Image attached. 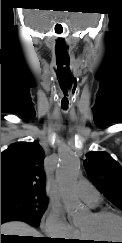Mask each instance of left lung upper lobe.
<instances>
[{
	"label": "left lung upper lobe",
	"mask_w": 122,
	"mask_h": 243,
	"mask_svg": "<svg viewBox=\"0 0 122 243\" xmlns=\"http://www.w3.org/2000/svg\"><path fill=\"white\" fill-rule=\"evenodd\" d=\"M87 175L115 206L122 210V167L106 152H89L84 160Z\"/></svg>",
	"instance_id": "5c2ea615"
}]
</instances>
